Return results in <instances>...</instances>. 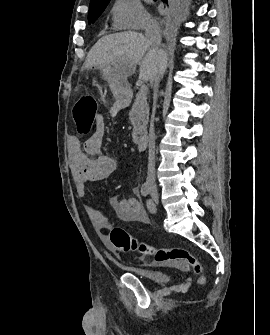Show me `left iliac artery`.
<instances>
[{"mask_svg": "<svg viewBox=\"0 0 270 335\" xmlns=\"http://www.w3.org/2000/svg\"><path fill=\"white\" fill-rule=\"evenodd\" d=\"M147 208L150 210V212L153 211V202L152 200H147Z\"/></svg>", "mask_w": 270, "mask_h": 335, "instance_id": "44dca946", "label": "left iliac artery"}]
</instances>
